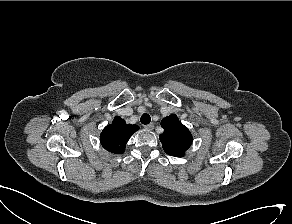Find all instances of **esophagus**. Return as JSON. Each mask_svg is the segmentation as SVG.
<instances>
[{
    "mask_svg": "<svg viewBox=\"0 0 292 224\" xmlns=\"http://www.w3.org/2000/svg\"><path fill=\"white\" fill-rule=\"evenodd\" d=\"M144 128L147 129V130H153L154 129V124L150 123L148 125H145Z\"/></svg>",
    "mask_w": 292,
    "mask_h": 224,
    "instance_id": "esophagus-1",
    "label": "esophagus"
}]
</instances>
